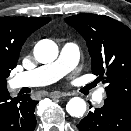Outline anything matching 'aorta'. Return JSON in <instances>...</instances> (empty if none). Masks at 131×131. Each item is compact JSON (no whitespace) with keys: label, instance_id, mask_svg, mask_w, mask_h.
Listing matches in <instances>:
<instances>
[{"label":"aorta","instance_id":"762f6f07","mask_svg":"<svg viewBox=\"0 0 131 131\" xmlns=\"http://www.w3.org/2000/svg\"><path fill=\"white\" fill-rule=\"evenodd\" d=\"M34 56L40 63L53 62L58 56V46L52 40H41L34 48ZM66 110L70 116L80 118L86 112V102L80 97H74L66 104Z\"/></svg>","mask_w":131,"mask_h":131}]
</instances>
